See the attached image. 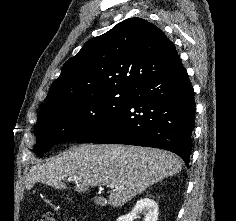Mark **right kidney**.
<instances>
[{
    "label": "right kidney",
    "instance_id": "1",
    "mask_svg": "<svg viewBox=\"0 0 236 221\" xmlns=\"http://www.w3.org/2000/svg\"><path fill=\"white\" fill-rule=\"evenodd\" d=\"M140 214L144 215V221H157V203L150 198L140 199L129 214L120 216L117 221H134Z\"/></svg>",
    "mask_w": 236,
    "mask_h": 221
}]
</instances>
